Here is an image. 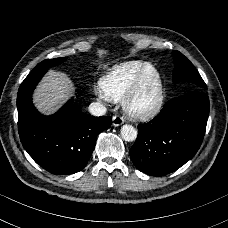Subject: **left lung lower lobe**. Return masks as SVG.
<instances>
[{
    "label": "left lung lower lobe",
    "instance_id": "1",
    "mask_svg": "<svg viewBox=\"0 0 228 228\" xmlns=\"http://www.w3.org/2000/svg\"><path fill=\"white\" fill-rule=\"evenodd\" d=\"M209 115L205 91H192L168 101L150 122L138 126L129 154L134 166L151 176L167 175L198 151Z\"/></svg>",
    "mask_w": 228,
    "mask_h": 228
}]
</instances>
